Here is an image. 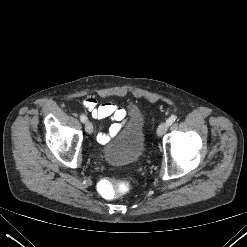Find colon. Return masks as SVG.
Masks as SVG:
<instances>
[{
    "label": "colon",
    "mask_w": 247,
    "mask_h": 247,
    "mask_svg": "<svg viewBox=\"0 0 247 247\" xmlns=\"http://www.w3.org/2000/svg\"><path fill=\"white\" fill-rule=\"evenodd\" d=\"M131 188V182L125 178H109L101 181L100 193L107 199H114L127 193Z\"/></svg>",
    "instance_id": "5ec220e1"
}]
</instances>
